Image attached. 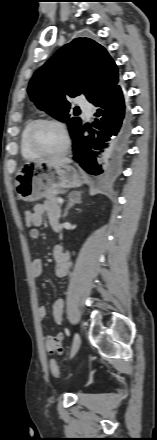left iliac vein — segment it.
<instances>
[{
    "label": "left iliac vein",
    "mask_w": 157,
    "mask_h": 440,
    "mask_svg": "<svg viewBox=\"0 0 157 440\" xmlns=\"http://www.w3.org/2000/svg\"><path fill=\"white\" fill-rule=\"evenodd\" d=\"M81 345V339L78 333L74 334L73 346L71 351V356H74Z\"/></svg>",
    "instance_id": "1"
}]
</instances>
